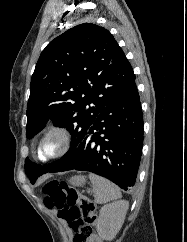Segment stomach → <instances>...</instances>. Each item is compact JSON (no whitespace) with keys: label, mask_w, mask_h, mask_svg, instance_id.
Listing matches in <instances>:
<instances>
[{"label":"stomach","mask_w":187,"mask_h":242,"mask_svg":"<svg viewBox=\"0 0 187 242\" xmlns=\"http://www.w3.org/2000/svg\"><path fill=\"white\" fill-rule=\"evenodd\" d=\"M69 183L73 186H82L85 183V177L81 175L71 177Z\"/></svg>","instance_id":"obj_1"}]
</instances>
